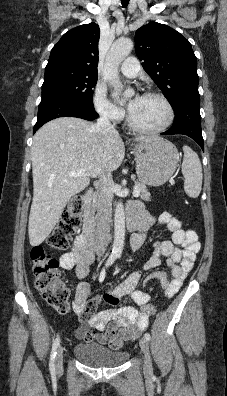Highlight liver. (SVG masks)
I'll return each mask as SVG.
<instances>
[{"label": "liver", "mask_w": 227, "mask_h": 396, "mask_svg": "<svg viewBox=\"0 0 227 396\" xmlns=\"http://www.w3.org/2000/svg\"><path fill=\"white\" fill-rule=\"evenodd\" d=\"M149 137H137L142 142ZM125 156L117 132L105 135L95 124L77 117H60L43 125L35 134L31 149L33 200L28 234L31 246L49 236L71 197L84 190L90 178L119 168ZM84 170L82 177H70Z\"/></svg>", "instance_id": "6515ba94"}]
</instances>
